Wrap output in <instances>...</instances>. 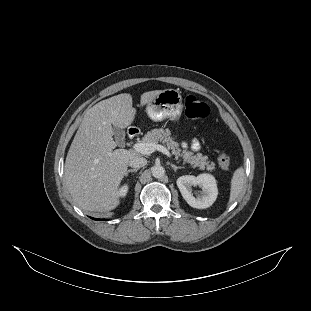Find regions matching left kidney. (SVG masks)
I'll return each mask as SVG.
<instances>
[{
    "mask_svg": "<svg viewBox=\"0 0 311 311\" xmlns=\"http://www.w3.org/2000/svg\"><path fill=\"white\" fill-rule=\"evenodd\" d=\"M177 186L185 201L193 208L204 209L210 207L216 200L218 188L216 179L208 173L198 176L184 175L177 179ZM192 186H199L202 191L192 193Z\"/></svg>",
    "mask_w": 311,
    "mask_h": 311,
    "instance_id": "5707ae66",
    "label": "left kidney"
}]
</instances>
